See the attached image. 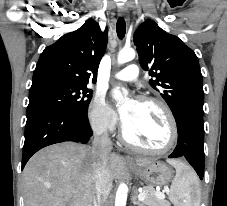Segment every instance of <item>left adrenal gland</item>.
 Listing matches in <instances>:
<instances>
[{
	"label": "left adrenal gland",
	"instance_id": "1",
	"mask_svg": "<svg viewBox=\"0 0 227 206\" xmlns=\"http://www.w3.org/2000/svg\"><path fill=\"white\" fill-rule=\"evenodd\" d=\"M137 194H138V192L135 191L132 202H133L134 205L143 206V204L140 201L137 200Z\"/></svg>",
	"mask_w": 227,
	"mask_h": 206
}]
</instances>
